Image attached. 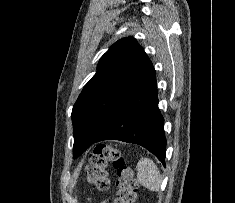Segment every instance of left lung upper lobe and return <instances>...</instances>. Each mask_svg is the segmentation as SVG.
<instances>
[{
	"mask_svg": "<svg viewBox=\"0 0 235 203\" xmlns=\"http://www.w3.org/2000/svg\"><path fill=\"white\" fill-rule=\"evenodd\" d=\"M152 66L133 37L118 40L101 57L96 74L73 106V158L87 149L81 151L79 133L85 129L100 135Z\"/></svg>",
	"mask_w": 235,
	"mask_h": 203,
	"instance_id": "obj_1",
	"label": "left lung upper lobe"
}]
</instances>
